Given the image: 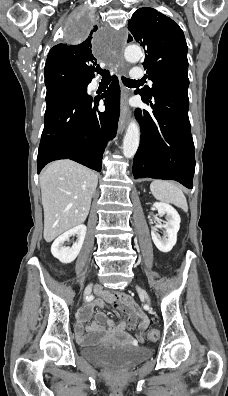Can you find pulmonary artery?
<instances>
[{"label": "pulmonary artery", "instance_id": "pulmonary-artery-1", "mask_svg": "<svg viewBox=\"0 0 228 396\" xmlns=\"http://www.w3.org/2000/svg\"><path fill=\"white\" fill-rule=\"evenodd\" d=\"M131 76L133 79H141L144 76V71L140 67H135L131 71ZM149 83L151 82L149 81Z\"/></svg>", "mask_w": 228, "mask_h": 396}]
</instances>
